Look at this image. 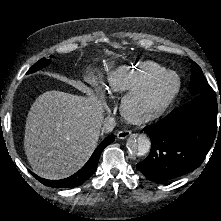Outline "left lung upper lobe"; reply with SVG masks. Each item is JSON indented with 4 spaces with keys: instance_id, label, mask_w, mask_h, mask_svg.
I'll return each mask as SVG.
<instances>
[{
    "instance_id": "1",
    "label": "left lung upper lobe",
    "mask_w": 221,
    "mask_h": 221,
    "mask_svg": "<svg viewBox=\"0 0 221 221\" xmlns=\"http://www.w3.org/2000/svg\"><path fill=\"white\" fill-rule=\"evenodd\" d=\"M191 62V80L190 92L191 94H215L213 89L208 85L206 78L203 75L201 68L192 60Z\"/></svg>"
}]
</instances>
